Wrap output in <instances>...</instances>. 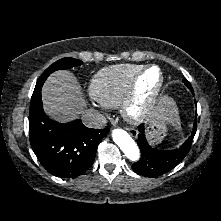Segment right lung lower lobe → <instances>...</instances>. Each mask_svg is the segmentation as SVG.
<instances>
[{
	"mask_svg": "<svg viewBox=\"0 0 221 221\" xmlns=\"http://www.w3.org/2000/svg\"><path fill=\"white\" fill-rule=\"evenodd\" d=\"M41 87L35 88L29 112L32 149L42 166L52 175L73 178L93 164L100 140L108 129H91L80 120L68 124L54 122L44 113Z\"/></svg>",
	"mask_w": 221,
	"mask_h": 221,
	"instance_id": "obj_1",
	"label": "right lung lower lobe"
}]
</instances>
